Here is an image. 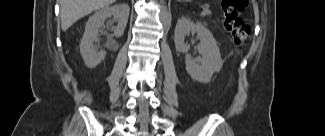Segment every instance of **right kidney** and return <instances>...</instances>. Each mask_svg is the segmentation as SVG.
Instances as JSON below:
<instances>
[{"label":"right kidney","instance_id":"obj_1","mask_svg":"<svg viewBox=\"0 0 325 136\" xmlns=\"http://www.w3.org/2000/svg\"><path fill=\"white\" fill-rule=\"evenodd\" d=\"M130 8L127 4L106 6L92 15L85 27V32L80 42V53L87 67L95 68L106 56V51L98 49L93 43L98 39L99 28L104 25L107 18L113 17L109 24L117 23L112 27L113 35L121 37L127 25Z\"/></svg>","mask_w":325,"mask_h":136}]
</instances>
